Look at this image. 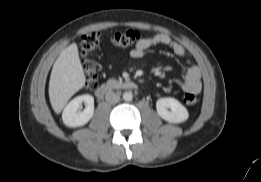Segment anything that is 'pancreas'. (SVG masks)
I'll use <instances>...</instances> for the list:
<instances>
[{"label":"pancreas","instance_id":"1","mask_svg":"<svg viewBox=\"0 0 261 182\" xmlns=\"http://www.w3.org/2000/svg\"><path fill=\"white\" fill-rule=\"evenodd\" d=\"M117 83V80H115V79H109L108 81H107V84L108 85H115Z\"/></svg>","mask_w":261,"mask_h":182}]
</instances>
